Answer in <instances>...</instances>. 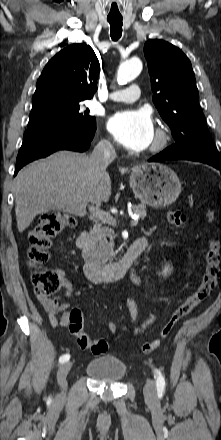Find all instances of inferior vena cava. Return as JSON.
I'll list each match as a JSON object with an SVG mask.
<instances>
[{"label": "inferior vena cava", "instance_id": "obj_1", "mask_svg": "<svg viewBox=\"0 0 221 440\" xmlns=\"http://www.w3.org/2000/svg\"><path fill=\"white\" fill-rule=\"evenodd\" d=\"M116 152L114 146L107 140H101L90 155V161L93 164L98 175L106 174L108 165L115 159Z\"/></svg>", "mask_w": 221, "mask_h": 440}]
</instances>
